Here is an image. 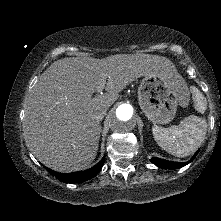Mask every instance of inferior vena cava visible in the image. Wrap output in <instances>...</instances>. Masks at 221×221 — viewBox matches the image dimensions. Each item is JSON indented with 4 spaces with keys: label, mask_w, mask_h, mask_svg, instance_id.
I'll use <instances>...</instances> for the list:
<instances>
[{
    "label": "inferior vena cava",
    "mask_w": 221,
    "mask_h": 221,
    "mask_svg": "<svg viewBox=\"0 0 221 221\" xmlns=\"http://www.w3.org/2000/svg\"><path fill=\"white\" fill-rule=\"evenodd\" d=\"M105 115H106V109H102V110H100V111L97 113L96 119H97L98 121H101V120L104 118Z\"/></svg>",
    "instance_id": "inferior-vena-cava-1"
}]
</instances>
